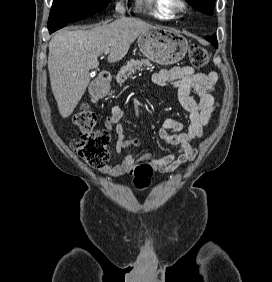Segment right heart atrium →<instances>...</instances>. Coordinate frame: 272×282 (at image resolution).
<instances>
[{"instance_id":"1","label":"right heart atrium","mask_w":272,"mask_h":282,"mask_svg":"<svg viewBox=\"0 0 272 282\" xmlns=\"http://www.w3.org/2000/svg\"><path fill=\"white\" fill-rule=\"evenodd\" d=\"M114 11L117 15H122L125 11V6H124V2L123 0H118L116 3H115V6H114Z\"/></svg>"}]
</instances>
